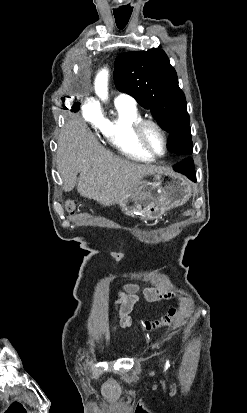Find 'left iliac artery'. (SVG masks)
<instances>
[{
	"label": "left iliac artery",
	"mask_w": 247,
	"mask_h": 413,
	"mask_svg": "<svg viewBox=\"0 0 247 413\" xmlns=\"http://www.w3.org/2000/svg\"><path fill=\"white\" fill-rule=\"evenodd\" d=\"M170 366L169 361L166 362V369Z\"/></svg>",
	"instance_id": "44dca946"
}]
</instances>
